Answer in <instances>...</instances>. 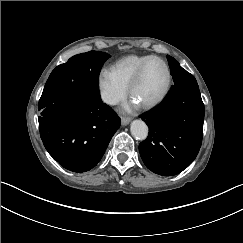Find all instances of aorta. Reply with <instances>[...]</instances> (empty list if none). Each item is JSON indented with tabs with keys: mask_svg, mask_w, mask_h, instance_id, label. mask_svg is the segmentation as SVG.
I'll return each instance as SVG.
<instances>
[{
	"mask_svg": "<svg viewBox=\"0 0 243 243\" xmlns=\"http://www.w3.org/2000/svg\"><path fill=\"white\" fill-rule=\"evenodd\" d=\"M130 131L137 140H145L148 136V126L142 120H134L131 122Z\"/></svg>",
	"mask_w": 243,
	"mask_h": 243,
	"instance_id": "aorta-1",
	"label": "aorta"
}]
</instances>
